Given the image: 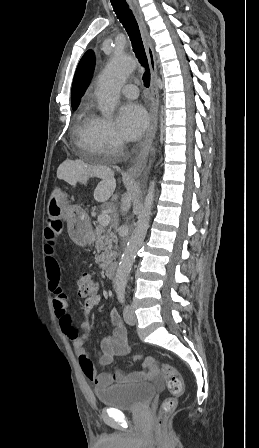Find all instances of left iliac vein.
Masks as SVG:
<instances>
[{"label":"left iliac vein","instance_id":"left-iliac-vein-1","mask_svg":"<svg viewBox=\"0 0 259 448\" xmlns=\"http://www.w3.org/2000/svg\"><path fill=\"white\" fill-rule=\"evenodd\" d=\"M123 317L125 322L128 325H134L136 323V315L134 312V309L132 308L131 305H126L123 311Z\"/></svg>","mask_w":259,"mask_h":448}]
</instances>
